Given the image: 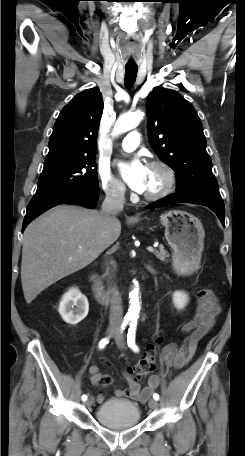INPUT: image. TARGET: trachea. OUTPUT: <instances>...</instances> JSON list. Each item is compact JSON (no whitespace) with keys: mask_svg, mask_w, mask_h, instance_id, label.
Returning <instances> with one entry per match:
<instances>
[{"mask_svg":"<svg viewBox=\"0 0 245 456\" xmlns=\"http://www.w3.org/2000/svg\"><path fill=\"white\" fill-rule=\"evenodd\" d=\"M138 72L137 66H126L125 67V85L130 88L133 86Z\"/></svg>","mask_w":245,"mask_h":456,"instance_id":"trachea-1","label":"trachea"}]
</instances>
